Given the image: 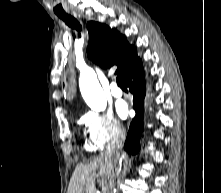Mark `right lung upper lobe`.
<instances>
[{"label": "right lung upper lobe", "instance_id": "cb5924a9", "mask_svg": "<svg viewBox=\"0 0 221 193\" xmlns=\"http://www.w3.org/2000/svg\"><path fill=\"white\" fill-rule=\"evenodd\" d=\"M89 31L88 57L102 67L117 65L116 73L124 80L139 64L135 47L131 46L125 36L115 29L96 22H88Z\"/></svg>", "mask_w": 221, "mask_h": 193}]
</instances>
